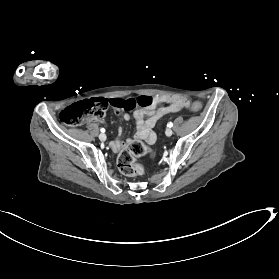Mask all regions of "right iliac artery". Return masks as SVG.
<instances>
[{"mask_svg": "<svg viewBox=\"0 0 279 279\" xmlns=\"http://www.w3.org/2000/svg\"><path fill=\"white\" fill-rule=\"evenodd\" d=\"M100 131H101V132H105V129H104V128H101Z\"/></svg>", "mask_w": 279, "mask_h": 279, "instance_id": "1", "label": "right iliac artery"}]
</instances>
